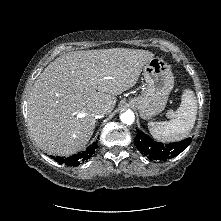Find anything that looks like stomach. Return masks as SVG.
Segmentation results:
<instances>
[{
	"mask_svg": "<svg viewBox=\"0 0 221 221\" xmlns=\"http://www.w3.org/2000/svg\"><path fill=\"white\" fill-rule=\"evenodd\" d=\"M143 76L146 89L138 97L130 99V104L143 119H150L165 109L174 86V76L167 63L157 57L143 67Z\"/></svg>",
	"mask_w": 221,
	"mask_h": 221,
	"instance_id": "obj_1",
	"label": "stomach"
}]
</instances>
